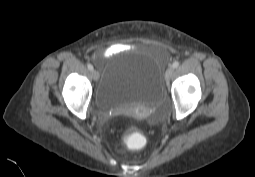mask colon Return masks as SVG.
<instances>
[{
    "mask_svg": "<svg viewBox=\"0 0 255 177\" xmlns=\"http://www.w3.org/2000/svg\"><path fill=\"white\" fill-rule=\"evenodd\" d=\"M144 142L143 137L138 133L130 134L125 138V143L132 149H139L142 147Z\"/></svg>",
    "mask_w": 255,
    "mask_h": 177,
    "instance_id": "obj_1",
    "label": "colon"
}]
</instances>
